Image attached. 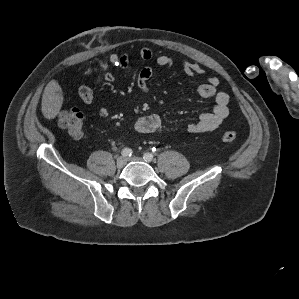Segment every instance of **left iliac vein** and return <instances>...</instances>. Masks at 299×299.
I'll list each match as a JSON object with an SVG mask.
<instances>
[{
  "label": "left iliac vein",
  "instance_id": "obj_1",
  "mask_svg": "<svg viewBox=\"0 0 299 299\" xmlns=\"http://www.w3.org/2000/svg\"><path fill=\"white\" fill-rule=\"evenodd\" d=\"M142 159L140 157H130L127 158V161H141ZM145 160V159H144ZM146 162H149L147 160H145Z\"/></svg>",
  "mask_w": 299,
  "mask_h": 299
}]
</instances>
